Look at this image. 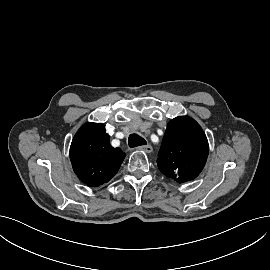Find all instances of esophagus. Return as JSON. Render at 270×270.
Wrapping results in <instances>:
<instances>
[{
  "label": "esophagus",
  "instance_id": "obj_1",
  "mask_svg": "<svg viewBox=\"0 0 270 270\" xmlns=\"http://www.w3.org/2000/svg\"><path fill=\"white\" fill-rule=\"evenodd\" d=\"M137 149H138V150H141V151H144V152H146V153H151L152 150H153L152 146L149 145V144L139 146Z\"/></svg>",
  "mask_w": 270,
  "mask_h": 270
}]
</instances>
